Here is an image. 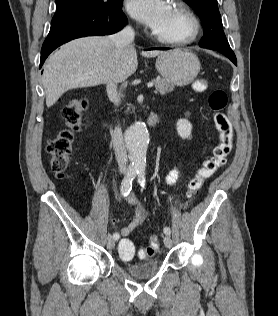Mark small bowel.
Returning <instances> with one entry per match:
<instances>
[{
	"instance_id": "obj_1",
	"label": "small bowel",
	"mask_w": 278,
	"mask_h": 316,
	"mask_svg": "<svg viewBox=\"0 0 278 316\" xmlns=\"http://www.w3.org/2000/svg\"><path fill=\"white\" fill-rule=\"evenodd\" d=\"M180 176V168L175 165L166 177V182L168 184H174L177 182ZM126 203L134 207V214L130 223L121 229L119 236L126 237L132 233L137 227H139L146 217V209L140 200L133 194L127 195ZM115 222L114 220L112 221Z\"/></svg>"
}]
</instances>
